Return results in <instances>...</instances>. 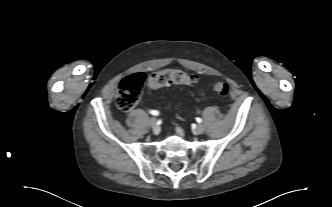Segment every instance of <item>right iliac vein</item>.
<instances>
[{
  "instance_id": "obj_1",
  "label": "right iliac vein",
  "mask_w": 332,
  "mask_h": 207,
  "mask_svg": "<svg viewBox=\"0 0 332 207\" xmlns=\"http://www.w3.org/2000/svg\"><path fill=\"white\" fill-rule=\"evenodd\" d=\"M150 126L155 130L157 128V120L156 118L152 117L149 119Z\"/></svg>"
}]
</instances>
